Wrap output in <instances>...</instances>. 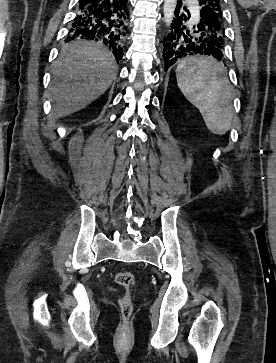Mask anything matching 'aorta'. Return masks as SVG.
Masks as SVG:
<instances>
[{
    "mask_svg": "<svg viewBox=\"0 0 276 363\" xmlns=\"http://www.w3.org/2000/svg\"><path fill=\"white\" fill-rule=\"evenodd\" d=\"M176 4L177 0H164L163 13L167 25H170L173 20Z\"/></svg>",
    "mask_w": 276,
    "mask_h": 363,
    "instance_id": "obj_1",
    "label": "aorta"
}]
</instances>
